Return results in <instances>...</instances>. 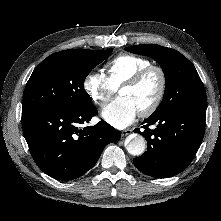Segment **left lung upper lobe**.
<instances>
[{
	"label": "left lung upper lobe",
	"instance_id": "left-lung-upper-lobe-1",
	"mask_svg": "<svg viewBox=\"0 0 221 221\" xmlns=\"http://www.w3.org/2000/svg\"><path fill=\"white\" fill-rule=\"evenodd\" d=\"M125 50L156 60L165 75L163 101L153 114L169 110H206L207 98L203 83L194 65L181 53L156 44H141Z\"/></svg>",
	"mask_w": 221,
	"mask_h": 221
}]
</instances>
